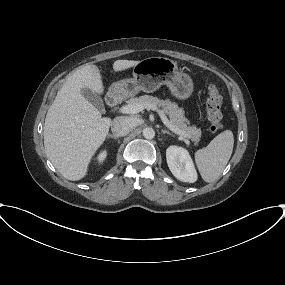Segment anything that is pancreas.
Instances as JSON below:
<instances>
[{"mask_svg": "<svg viewBox=\"0 0 285 285\" xmlns=\"http://www.w3.org/2000/svg\"><path fill=\"white\" fill-rule=\"evenodd\" d=\"M129 104L140 103L145 109H152L161 107L165 113L169 116L170 122L180 131L184 132V136L187 139L197 143L201 136V130L196 126H187L189 121L184 116L183 108H179L178 104L170 101L169 99L161 100L151 95H143L138 98H131L128 101Z\"/></svg>", "mask_w": 285, "mask_h": 285, "instance_id": "obj_1", "label": "pancreas"}]
</instances>
